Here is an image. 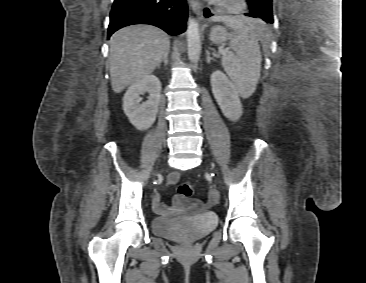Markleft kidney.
<instances>
[{
	"instance_id": "left-kidney-1",
	"label": "left kidney",
	"mask_w": 366,
	"mask_h": 283,
	"mask_svg": "<svg viewBox=\"0 0 366 283\" xmlns=\"http://www.w3.org/2000/svg\"><path fill=\"white\" fill-rule=\"evenodd\" d=\"M211 87L223 115L231 121H237L243 108L235 85L223 72L217 70L211 75Z\"/></svg>"
}]
</instances>
